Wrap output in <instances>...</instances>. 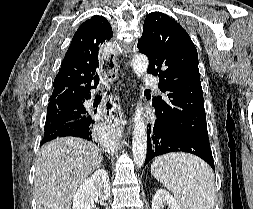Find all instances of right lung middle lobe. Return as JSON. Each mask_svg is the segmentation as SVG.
I'll return each mask as SVG.
<instances>
[{"label":"right lung middle lobe","mask_w":253,"mask_h":209,"mask_svg":"<svg viewBox=\"0 0 253 209\" xmlns=\"http://www.w3.org/2000/svg\"><path fill=\"white\" fill-rule=\"evenodd\" d=\"M85 110L72 106H60L57 109H47V117L44 130L56 129L57 127L78 120L85 116Z\"/></svg>","instance_id":"right-lung-middle-lobe-1"}]
</instances>
